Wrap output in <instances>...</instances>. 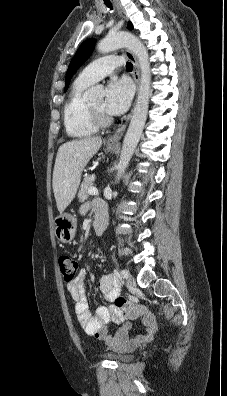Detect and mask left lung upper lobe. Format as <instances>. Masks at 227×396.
<instances>
[{"instance_id": "5c2ea615", "label": "left lung upper lobe", "mask_w": 227, "mask_h": 396, "mask_svg": "<svg viewBox=\"0 0 227 396\" xmlns=\"http://www.w3.org/2000/svg\"><path fill=\"white\" fill-rule=\"evenodd\" d=\"M128 28L133 29V25L131 22L128 23ZM95 39H88L84 41L77 50V53L73 57L68 67V71L66 74V82H65V91L68 89L70 80L75 73V71L87 60V58L91 55L94 46Z\"/></svg>"}]
</instances>
